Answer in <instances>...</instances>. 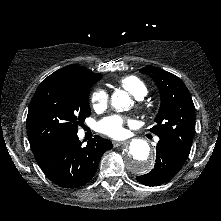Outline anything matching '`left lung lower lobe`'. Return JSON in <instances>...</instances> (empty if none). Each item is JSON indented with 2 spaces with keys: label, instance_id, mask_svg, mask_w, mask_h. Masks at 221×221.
<instances>
[{
  "label": "left lung lower lobe",
  "instance_id": "left-lung-lower-lobe-1",
  "mask_svg": "<svg viewBox=\"0 0 221 221\" xmlns=\"http://www.w3.org/2000/svg\"><path fill=\"white\" fill-rule=\"evenodd\" d=\"M186 158L182 157L168 143L159 140L156 146V163L150 173L137 176L140 183L157 186L173 178L183 166Z\"/></svg>",
  "mask_w": 221,
  "mask_h": 221
}]
</instances>
